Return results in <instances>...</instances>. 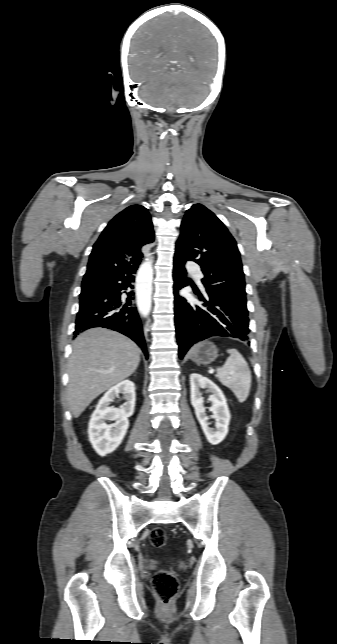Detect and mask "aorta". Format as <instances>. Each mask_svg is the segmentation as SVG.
<instances>
[{
  "mask_svg": "<svg viewBox=\"0 0 337 644\" xmlns=\"http://www.w3.org/2000/svg\"><path fill=\"white\" fill-rule=\"evenodd\" d=\"M152 276L151 263H145L140 268L136 279L137 304L144 316L148 315L151 310Z\"/></svg>",
  "mask_w": 337,
  "mask_h": 644,
  "instance_id": "1",
  "label": "aorta"
}]
</instances>
